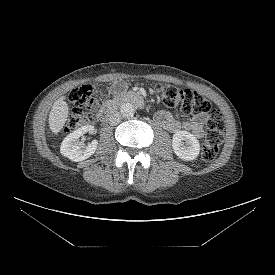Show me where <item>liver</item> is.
Wrapping results in <instances>:
<instances>
[{
    "instance_id": "1",
    "label": "liver",
    "mask_w": 275,
    "mask_h": 275,
    "mask_svg": "<svg viewBox=\"0 0 275 275\" xmlns=\"http://www.w3.org/2000/svg\"><path fill=\"white\" fill-rule=\"evenodd\" d=\"M69 114V107L65 96L59 97L53 104L49 114V127L53 134H57L65 125Z\"/></svg>"
}]
</instances>
